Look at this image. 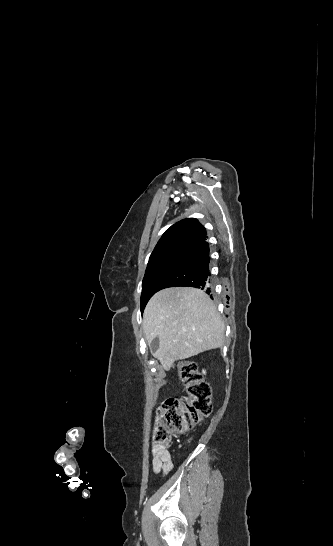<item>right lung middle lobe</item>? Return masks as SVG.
<instances>
[{"mask_svg": "<svg viewBox=\"0 0 333 546\" xmlns=\"http://www.w3.org/2000/svg\"><path fill=\"white\" fill-rule=\"evenodd\" d=\"M187 251L186 249H169L150 256L142 282L141 308L144 309L148 300L155 294L159 278Z\"/></svg>", "mask_w": 333, "mask_h": 546, "instance_id": "dd1d6c3e", "label": "right lung middle lobe"}]
</instances>
